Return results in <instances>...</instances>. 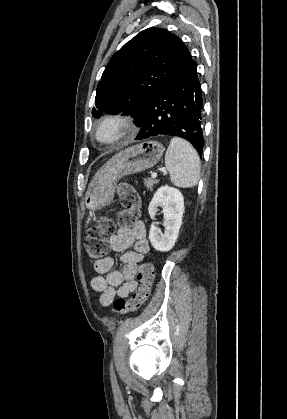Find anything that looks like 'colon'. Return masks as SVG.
I'll use <instances>...</instances> for the list:
<instances>
[{"label": "colon", "instance_id": "colon-1", "mask_svg": "<svg viewBox=\"0 0 287 419\" xmlns=\"http://www.w3.org/2000/svg\"><path fill=\"white\" fill-rule=\"evenodd\" d=\"M118 194L123 210L118 214L119 223H132L139 215L140 197L133 186L128 183H120ZM117 222L108 217H101L95 226L88 229L84 238V245L89 259L97 263L103 260L108 251L107 237L116 230ZM154 271L150 263H143L138 272L140 286L128 300L116 299L112 305L115 314H126L138 310L149 298Z\"/></svg>", "mask_w": 287, "mask_h": 419}]
</instances>
